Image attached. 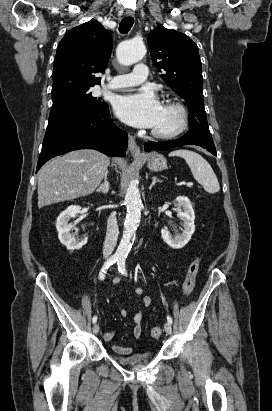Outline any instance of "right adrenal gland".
<instances>
[{
    "mask_svg": "<svg viewBox=\"0 0 272 411\" xmlns=\"http://www.w3.org/2000/svg\"><path fill=\"white\" fill-rule=\"evenodd\" d=\"M110 183L108 181V172L104 175V182L97 188V192H102L106 194L109 192Z\"/></svg>",
    "mask_w": 272,
    "mask_h": 411,
    "instance_id": "obj_1",
    "label": "right adrenal gland"
}]
</instances>
